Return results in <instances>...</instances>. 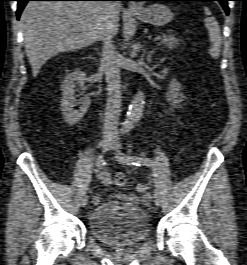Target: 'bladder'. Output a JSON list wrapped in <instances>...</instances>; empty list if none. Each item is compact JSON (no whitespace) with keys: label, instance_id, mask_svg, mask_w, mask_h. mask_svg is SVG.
Masks as SVG:
<instances>
[{"label":"bladder","instance_id":"31cf9c89","mask_svg":"<svg viewBox=\"0 0 247 265\" xmlns=\"http://www.w3.org/2000/svg\"><path fill=\"white\" fill-rule=\"evenodd\" d=\"M88 224L98 242L115 248L136 246L150 233L143 207L116 200L98 204L90 212Z\"/></svg>","mask_w":247,"mask_h":265}]
</instances>
